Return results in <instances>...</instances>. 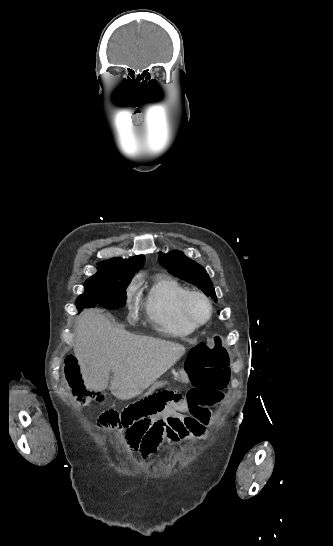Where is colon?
<instances>
[{"label": "colon", "instance_id": "obj_1", "mask_svg": "<svg viewBox=\"0 0 333 546\" xmlns=\"http://www.w3.org/2000/svg\"><path fill=\"white\" fill-rule=\"evenodd\" d=\"M229 354L222 345L221 339L215 337L211 341H203L194 346L186 364L190 381L194 389L186 396L187 402L200 403L206 400L203 392L220 391L225 388L230 379ZM79 358L76 355L68 356L65 360V375L77 399L87 404L90 401L92 390L81 380L78 374ZM85 384V385H84ZM183 400L180 395L168 390H159L147 396H139L137 400H127L122 411H105L99 418V426L106 430H125L129 418L135 422H146L147 418H155L168 405L181 406Z\"/></svg>", "mask_w": 333, "mask_h": 546}]
</instances>
